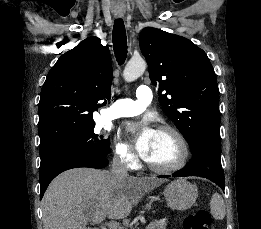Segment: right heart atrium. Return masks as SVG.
I'll use <instances>...</instances> for the list:
<instances>
[{
    "label": "right heart atrium",
    "mask_w": 261,
    "mask_h": 229,
    "mask_svg": "<svg viewBox=\"0 0 261 229\" xmlns=\"http://www.w3.org/2000/svg\"><path fill=\"white\" fill-rule=\"evenodd\" d=\"M114 159L121 167L134 171L139 167V159L129 144L117 141L114 150Z\"/></svg>",
    "instance_id": "obj_1"
}]
</instances>
